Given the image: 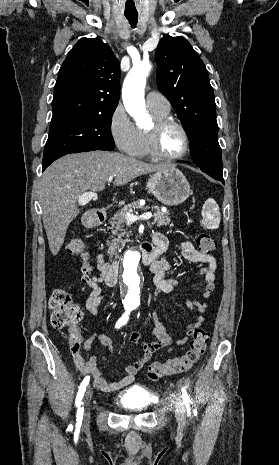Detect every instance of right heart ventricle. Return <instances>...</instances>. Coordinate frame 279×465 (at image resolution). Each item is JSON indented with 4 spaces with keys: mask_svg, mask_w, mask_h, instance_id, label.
I'll use <instances>...</instances> for the list:
<instances>
[{
    "mask_svg": "<svg viewBox=\"0 0 279 465\" xmlns=\"http://www.w3.org/2000/svg\"><path fill=\"white\" fill-rule=\"evenodd\" d=\"M150 113L152 114L155 120L162 119L168 117L169 112H161L158 110L150 109ZM134 157H147L150 156L149 148H148V140H147V131L143 129H136L135 135V142L134 145L129 153Z\"/></svg>",
    "mask_w": 279,
    "mask_h": 465,
    "instance_id": "obj_1",
    "label": "right heart ventricle"
}]
</instances>
